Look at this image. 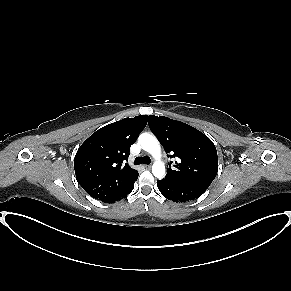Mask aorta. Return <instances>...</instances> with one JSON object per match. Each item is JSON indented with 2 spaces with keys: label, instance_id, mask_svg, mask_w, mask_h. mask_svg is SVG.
<instances>
[{
  "label": "aorta",
  "instance_id": "aorta-1",
  "mask_svg": "<svg viewBox=\"0 0 291 291\" xmlns=\"http://www.w3.org/2000/svg\"><path fill=\"white\" fill-rule=\"evenodd\" d=\"M139 143L141 144L143 150L153 155L156 159H159L161 148L159 142L153 135L149 133H142L139 136ZM152 173L156 178H163L165 176L164 164L157 160L152 166Z\"/></svg>",
  "mask_w": 291,
  "mask_h": 291
}]
</instances>
